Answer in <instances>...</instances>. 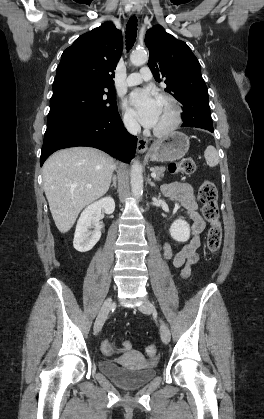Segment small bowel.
Listing matches in <instances>:
<instances>
[{
	"instance_id": "obj_1",
	"label": "small bowel",
	"mask_w": 264,
	"mask_h": 419,
	"mask_svg": "<svg viewBox=\"0 0 264 419\" xmlns=\"http://www.w3.org/2000/svg\"><path fill=\"white\" fill-rule=\"evenodd\" d=\"M163 193L171 200L178 202L186 211V214L193 221L191 226V237L178 252H174L170 243L164 244V257L171 261L176 269H180V277L187 278L192 266L200 260L198 248L200 247V233L205 227V222L199 215L198 204L195 199L193 188L188 183H170L162 187ZM130 344L128 349L122 345ZM120 347L112 346L109 350L102 349L104 354L112 355L128 353L131 350V343L125 341Z\"/></svg>"
}]
</instances>
